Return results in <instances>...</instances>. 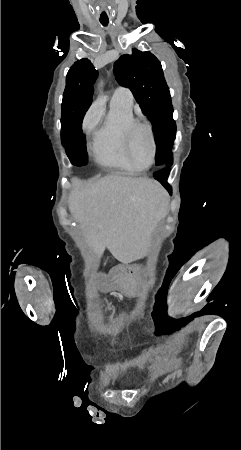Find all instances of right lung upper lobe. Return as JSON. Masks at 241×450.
<instances>
[{"label": "right lung upper lobe", "mask_w": 241, "mask_h": 450, "mask_svg": "<svg viewBox=\"0 0 241 450\" xmlns=\"http://www.w3.org/2000/svg\"><path fill=\"white\" fill-rule=\"evenodd\" d=\"M81 74L98 75V71L93 67L92 63L88 59H81L75 62L74 65H72V67L68 71L66 80H69Z\"/></svg>", "instance_id": "right-lung-upper-lobe-1"}]
</instances>
